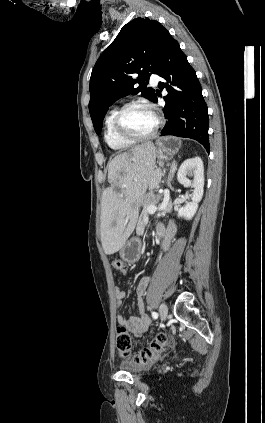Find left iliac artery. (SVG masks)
Instances as JSON below:
<instances>
[{
    "mask_svg": "<svg viewBox=\"0 0 265 423\" xmlns=\"http://www.w3.org/2000/svg\"><path fill=\"white\" fill-rule=\"evenodd\" d=\"M152 317L154 318V319H157L158 318V314L156 313V312H152Z\"/></svg>",
    "mask_w": 265,
    "mask_h": 423,
    "instance_id": "44dca946",
    "label": "left iliac artery"
}]
</instances>
